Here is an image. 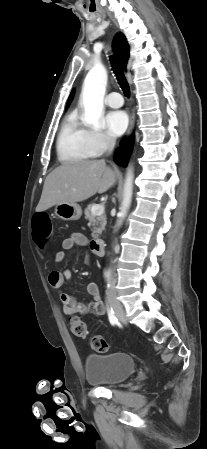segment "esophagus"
Returning a JSON list of instances; mask_svg holds the SVG:
<instances>
[{"label":"esophagus","mask_w":207,"mask_h":449,"mask_svg":"<svg viewBox=\"0 0 207 449\" xmlns=\"http://www.w3.org/2000/svg\"><path fill=\"white\" fill-rule=\"evenodd\" d=\"M134 120H135V116L134 113H132L131 118H130V124H129V128L127 131V136H129L132 132L133 126H134Z\"/></svg>","instance_id":"1"}]
</instances>
